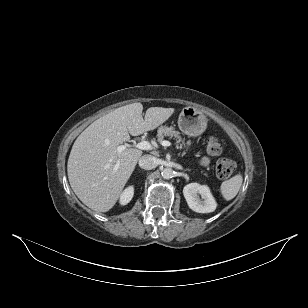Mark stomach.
<instances>
[{
    "label": "stomach",
    "mask_w": 308,
    "mask_h": 308,
    "mask_svg": "<svg viewBox=\"0 0 308 308\" xmlns=\"http://www.w3.org/2000/svg\"><path fill=\"white\" fill-rule=\"evenodd\" d=\"M178 127L187 136L196 137L205 131L207 118L201 111L193 107H185L179 115Z\"/></svg>",
    "instance_id": "1"
}]
</instances>
